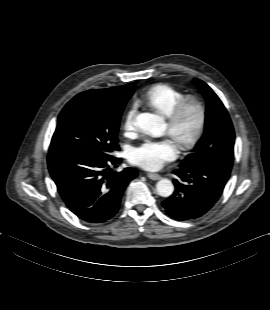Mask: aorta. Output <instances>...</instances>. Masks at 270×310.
<instances>
[{
    "label": "aorta",
    "instance_id": "1",
    "mask_svg": "<svg viewBox=\"0 0 270 310\" xmlns=\"http://www.w3.org/2000/svg\"><path fill=\"white\" fill-rule=\"evenodd\" d=\"M137 126L154 133H162L165 130V123L162 117L153 113H141L136 118ZM156 191L162 197H169L174 191L173 183L168 179H161L156 184Z\"/></svg>",
    "mask_w": 270,
    "mask_h": 310
}]
</instances>
